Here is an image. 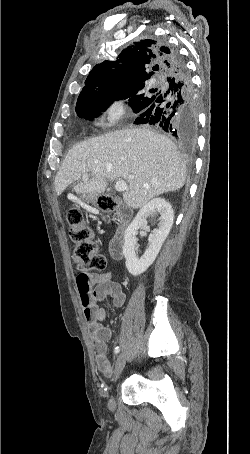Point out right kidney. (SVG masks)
<instances>
[{"label": "right kidney", "instance_id": "right-kidney-1", "mask_svg": "<svg viewBox=\"0 0 250 454\" xmlns=\"http://www.w3.org/2000/svg\"><path fill=\"white\" fill-rule=\"evenodd\" d=\"M159 215L158 228L148 237V249L139 259L136 256L137 231L147 228V218ZM174 213L172 206L163 198H154L145 204L137 213L134 220L125 231L123 255L126 259V268L130 274L137 276L145 272L155 261L172 225Z\"/></svg>", "mask_w": 250, "mask_h": 454}]
</instances>
